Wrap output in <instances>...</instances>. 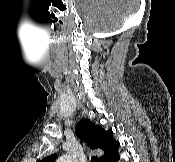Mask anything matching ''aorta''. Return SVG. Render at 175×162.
Instances as JSON below:
<instances>
[{
	"instance_id": "obj_1",
	"label": "aorta",
	"mask_w": 175,
	"mask_h": 162,
	"mask_svg": "<svg viewBox=\"0 0 175 162\" xmlns=\"http://www.w3.org/2000/svg\"><path fill=\"white\" fill-rule=\"evenodd\" d=\"M57 162H75V160L72 156L66 154L61 156Z\"/></svg>"
}]
</instances>
